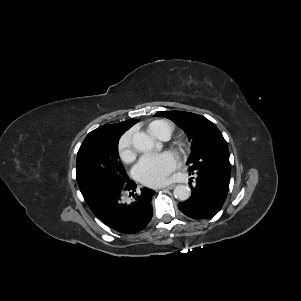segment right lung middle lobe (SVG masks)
<instances>
[{"label":"right lung middle lobe","mask_w":301,"mask_h":301,"mask_svg":"<svg viewBox=\"0 0 301 301\" xmlns=\"http://www.w3.org/2000/svg\"><path fill=\"white\" fill-rule=\"evenodd\" d=\"M118 140L101 134L87 135L78 151L76 179L90 209L105 188L129 180L119 160Z\"/></svg>","instance_id":"1"}]
</instances>
